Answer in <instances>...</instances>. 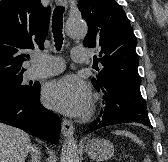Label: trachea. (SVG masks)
Masks as SVG:
<instances>
[{"label":"trachea","instance_id":"trachea-1","mask_svg":"<svg viewBox=\"0 0 168 162\" xmlns=\"http://www.w3.org/2000/svg\"><path fill=\"white\" fill-rule=\"evenodd\" d=\"M63 13L64 7L58 6L53 12L52 17V32L54 35L55 47L57 50H60L63 43Z\"/></svg>","mask_w":168,"mask_h":162}]
</instances>
